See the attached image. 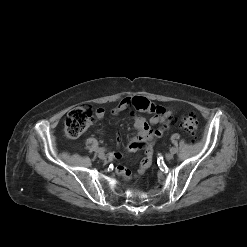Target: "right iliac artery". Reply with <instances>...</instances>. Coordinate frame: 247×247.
<instances>
[{
    "label": "right iliac artery",
    "mask_w": 247,
    "mask_h": 247,
    "mask_svg": "<svg viewBox=\"0 0 247 247\" xmlns=\"http://www.w3.org/2000/svg\"><path fill=\"white\" fill-rule=\"evenodd\" d=\"M97 151H98V152H104V151H105V148L100 147V148L97 149Z\"/></svg>",
    "instance_id": "1"
}]
</instances>
